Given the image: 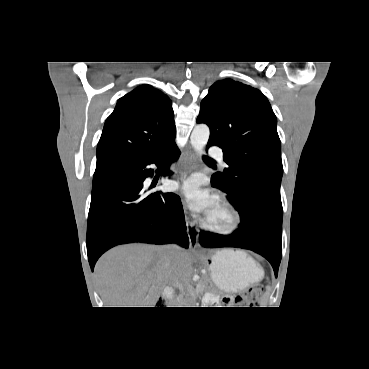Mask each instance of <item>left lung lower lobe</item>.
Returning a JSON list of instances; mask_svg holds the SVG:
<instances>
[{
    "mask_svg": "<svg viewBox=\"0 0 369 369\" xmlns=\"http://www.w3.org/2000/svg\"><path fill=\"white\" fill-rule=\"evenodd\" d=\"M211 184L220 189L212 178ZM228 200L236 207L234 200L230 197ZM250 213L249 219L241 218L238 229L231 235L201 231L199 243L206 248L237 247L252 250L271 263L277 276L282 257V205L260 199L251 204Z\"/></svg>",
    "mask_w": 369,
    "mask_h": 369,
    "instance_id": "left-lung-lower-lobe-1",
    "label": "left lung lower lobe"
}]
</instances>
